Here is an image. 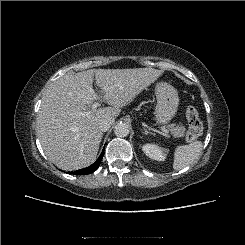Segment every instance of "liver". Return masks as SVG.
Instances as JSON below:
<instances>
[{
  "label": "liver",
  "mask_w": 245,
  "mask_h": 245,
  "mask_svg": "<svg viewBox=\"0 0 245 245\" xmlns=\"http://www.w3.org/2000/svg\"><path fill=\"white\" fill-rule=\"evenodd\" d=\"M162 75L154 68L97 69L67 73L53 82L43 95L37 131L45 155L58 168L77 170L91 165L103 133L99 122L119 116L122 107ZM93 80L102 89L97 95ZM103 99L112 107L92 111V102ZM91 111L89 117L80 112Z\"/></svg>",
  "instance_id": "obj_1"
}]
</instances>
